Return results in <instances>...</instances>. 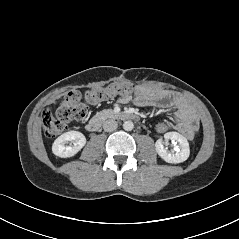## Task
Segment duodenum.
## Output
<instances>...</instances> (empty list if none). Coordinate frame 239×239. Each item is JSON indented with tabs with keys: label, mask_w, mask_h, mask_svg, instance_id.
<instances>
[{
	"label": "duodenum",
	"mask_w": 239,
	"mask_h": 239,
	"mask_svg": "<svg viewBox=\"0 0 239 239\" xmlns=\"http://www.w3.org/2000/svg\"><path fill=\"white\" fill-rule=\"evenodd\" d=\"M115 117L121 119V120H138L139 119V116L135 113H132V112H120V113H117L115 114ZM104 120V116L102 115H99V116H95V117H92L87 125H86V129L90 132H95L97 131L102 122Z\"/></svg>",
	"instance_id": "1"
}]
</instances>
